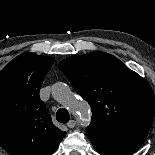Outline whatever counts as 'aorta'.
Returning <instances> with one entry per match:
<instances>
[{"instance_id": "aorta-1", "label": "aorta", "mask_w": 155, "mask_h": 155, "mask_svg": "<svg viewBox=\"0 0 155 155\" xmlns=\"http://www.w3.org/2000/svg\"><path fill=\"white\" fill-rule=\"evenodd\" d=\"M53 97L62 103H67L69 108L79 115L82 123L88 124L91 119L89 105L83 99L73 97L70 87L63 82H58L52 88Z\"/></svg>"}]
</instances>
